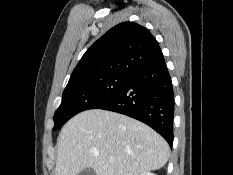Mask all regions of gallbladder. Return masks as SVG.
<instances>
[{
    "mask_svg": "<svg viewBox=\"0 0 233 175\" xmlns=\"http://www.w3.org/2000/svg\"><path fill=\"white\" fill-rule=\"evenodd\" d=\"M78 175H95V171L92 168H85Z\"/></svg>",
    "mask_w": 233,
    "mask_h": 175,
    "instance_id": "1",
    "label": "gallbladder"
}]
</instances>
